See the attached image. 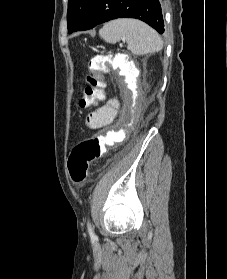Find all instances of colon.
Here are the masks:
<instances>
[{
	"instance_id": "1",
	"label": "colon",
	"mask_w": 227,
	"mask_h": 279,
	"mask_svg": "<svg viewBox=\"0 0 227 279\" xmlns=\"http://www.w3.org/2000/svg\"><path fill=\"white\" fill-rule=\"evenodd\" d=\"M89 74L86 77V86L78 99L82 108L91 106L96 100L105 96V64L103 57H93L88 62ZM114 131L99 132L76 144L68 160V169L71 180L82 183L88 174L91 162L101 158L113 141Z\"/></svg>"
}]
</instances>
